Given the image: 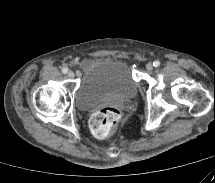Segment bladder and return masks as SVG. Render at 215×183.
I'll return each instance as SVG.
<instances>
[{"label":"bladder","mask_w":215,"mask_h":183,"mask_svg":"<svg viewBox=\"0 0 215 183\" xmlns=\"http://www.w3.org/2000/svg\"><path fill=\"white\" fill-rule=\"evenodd\" d=\"M75 104L85 111L109 100H125L138 90L130 65L110 57L86 58L79 64Z\"/></svg>","instance_id":"obj_1"}]
</instances>
